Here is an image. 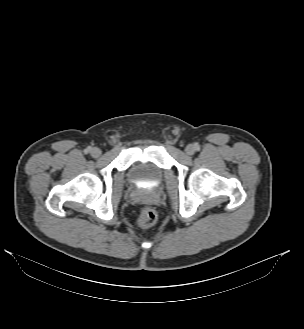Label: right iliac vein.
Masks as SVG:
<instances>
[{
    "label": "right iliac vein",
    "mask_w": 304,
    "mask_h": 329,
    "mask_svg": "<svg viewBox=\"0 0 304 329\" xmlns=\"http://www.w3.org/2000/svg\"><path fill=\"white\" fill-rule=\"evenodd\" d=\"M91 155L94 157V158H97L101 155V150L97 147H94L91 149Z\"/></svg>",
    "instance_id": "obj_1"
}]
</instances>
